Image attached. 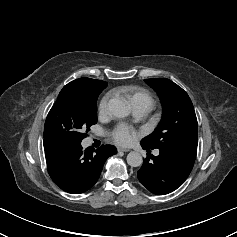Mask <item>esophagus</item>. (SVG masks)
I'll use <instances>...</instances> for the list:
<instances>
[{"label":"esophagus","mask_w":237,"mask_h":237,"mask_svg":"<svg viewBox=\"0 0 237 237\" xmlns=\"http://www.w3.org/2000/svg\"><path fill=\"white\" fill-rule=\"evenodd\" d=\"M117 150H118V152H129L130 151V149L122 148V147H118Z\"/></svg>","instance_id":"esophagus-1"}]
</instances>
